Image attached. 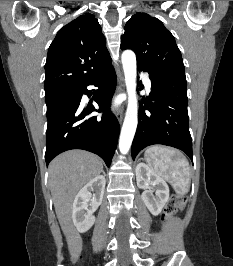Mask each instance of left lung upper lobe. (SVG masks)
<instances>
[{"label":"left lung upper lobe","mask_w":233,"mask_h":266,"mask_svg":"<svg viewBox=\"0 0 233 266\" xmlns=\"http://www.w3.org/2000/svg\"><path fill=\"white\" fill-rule=\"evenodd\" d=\"M121 49L136 53L137 66L154 75L179 73L185 75L181 52L174 36L157 18L136 13L125 25Z\"/></svg>","instance_id":"left-lung-upper-lobe-1"}]
</instances>
